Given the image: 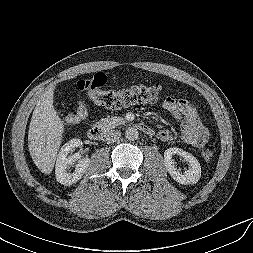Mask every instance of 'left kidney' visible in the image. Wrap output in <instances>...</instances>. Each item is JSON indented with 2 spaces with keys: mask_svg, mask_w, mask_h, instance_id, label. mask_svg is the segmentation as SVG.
Wrapping results in <instances>:
<instances>
[{
  "mask_svg": "<svg viewBox=\"0 0 253 253\" xmlns=\"http://www.w3.org/2000/svg\"><path fill=\"white\" fill-rule=\"evenodd\" d=\"M179 155L188 163V169L182 173L174 165L172 157ZM164 165L170 176L180 184H196L201 177V166L198 160L189 152L180 148H169L164 152Z\"/></svg>",
  "mask_w": 253,
  "mask_h": 253,
  "instance_id": "left-kidney-1",
  "label": "left kidney"
}]
</instances>
